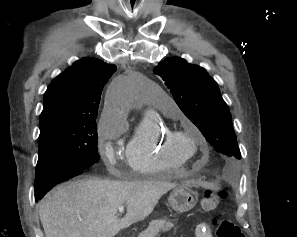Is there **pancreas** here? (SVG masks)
Returning <instances> with one entry per match:
<instances>
[{
    "mask_svg": "<svg viewBox=\"0 0 297 237\" xmlns=\"http://www.w3.org/2000/svg\"><path fill=\"white\" fill-rule=\"evenodd\" d=\"M173 223L165 219L153 220L149 227L142 231L138 237H156L160 232H167L173 228Z\"/></svg>",
    "mask_w": 297,
    "mask_h": 237,
    "instance_id": "obj_1",
    "label": "pancreas"
}]
</instances>
